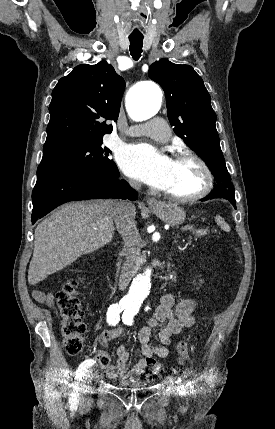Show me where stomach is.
<instances>
[{
    "label": "stomach",
    "instance_id": "obj_1",
    "mask_svg": "<svg viewBox=\"0 0 275 429\" xmlns=\"http://www.w3.org/2000/svg\"><path fill=\"white\" fill-rule=\"evenodd\" d=\"M162 221L170 225H180L184 222L186 214L184 210L174 204H160L158 208H151Z\"/></svg>",
    "mask_w": 275,
    "mask_h": 429
}]
</instances>
